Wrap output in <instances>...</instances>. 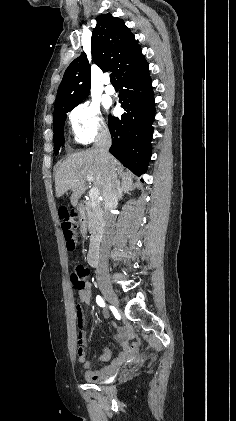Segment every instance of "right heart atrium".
Masks as SVG:
<instances>
[{
    "mask_svg": "<svg viewBox=\"0 0 236 421\" xmlns=\"http://www.w3.org/2000/svg\"><path fill=\"white\" fill-rule=\"evenodd\" d=\"M72 134L80 144H90L95 139L108 133L105 118L99 105L85 101L69 114Z\"/></svg>",
    "mask_w": 236,
    "mask_h": 421,
    "instance_id": "obj_1",
    "label": "right heart atrium"
}]
</instances>
